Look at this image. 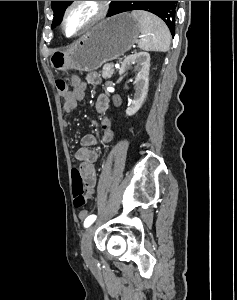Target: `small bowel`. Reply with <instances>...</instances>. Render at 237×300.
<instances>
[{
	"label": "small bowel",
	"mask_w": 237,
	"mask_h": 300,
	"mask_svg": "<svg viewBox=\"0 0 237 300\" xmlns=\"http://www.w3.org/2000/svg\"><path fill=\"white\" fill-rule=\"evenodd\" d=\"M101 82V77L96 72H90L86 76V83L96 86ZM73 87H77L80 84L85 85L79 77L73 76L71 78ZM63 98V108L66 113H71L77 106V103L81 100L76 98L72 92L61 93ZM95 109L100 114H105L109 109V99L106 95L101 94L97 97L95 102ZM101 136L100 140L93 134H86L80 140V147L75 153V158L80 162L77 167L81 172L84 179V188L86 191L85 197L90 198L95 192L96 185V162L99 159V151L94 147H98L100 144L110 143L115 135L114 122L108 117H104L100 121ZM87 211L82 210L79 213L80 219H84L87 216Z\"/></svg>",
	"instance_id": "c3829d8e"
}]
</instances>
